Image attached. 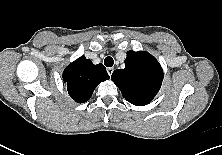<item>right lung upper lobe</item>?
<instances>
[{"label": "right lung upper lobe", "instance_id": "cb5924a9", "mask_svg": "<svg viewBox=\"0 0 222 155\" xmlns=\"http://www.w3.org/2000/svg\"><path fill=\"white\" fill-rule=\"evenodd\" d=\"M108 79L103 64L94 65L84 56L72 62L63 73L68 93L78 103L88 101L97 85Z\"/></svg>", "mask_w": 222, "mask_h": 155}]
</instances>
